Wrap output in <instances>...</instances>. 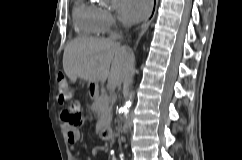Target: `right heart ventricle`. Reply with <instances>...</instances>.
I'll use <instances>...</instances> for the list:
<instances>
[{"label": "right heart ventricle", "instance_id": "1", "mask_svg": "<svg viewBox=\"0 0 242 160\" xmlns=\"http://www.w3.org/2000/svg\"><path fill=\"white\" fill-rule=\"evenodd\" d=\"M73 20L82 35L95 37L104 32L101 9L86 0H77L73 10Z\"/></svg>", "mask_w": 242, "mask_h": 160}]
</instances>
